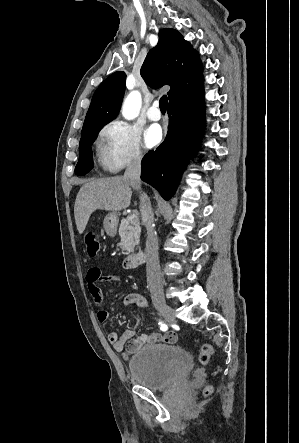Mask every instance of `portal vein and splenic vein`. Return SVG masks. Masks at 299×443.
Returning a JSON list of instances; mask_svg holds the SVG:
<instances>
[{
	"label": "portal vein and splenic vein",
	"instance_id": "portal-vein-and-splenic-vein-1",
	"mask_svg": "<svg viewBox=\"0 0 299 443\" xmlns=\"http://www.w3.org/2000/svg\"><path fill=\"white\" fill-rule=\"evenodd\" d=\"M137 218V216L135 215V214H132V215H130L129 217H128V219L130 220V221H133V220H135Z\"/></svg>",
	"mask_w": 299,
	"mask_h": 443
}]
</instances>
